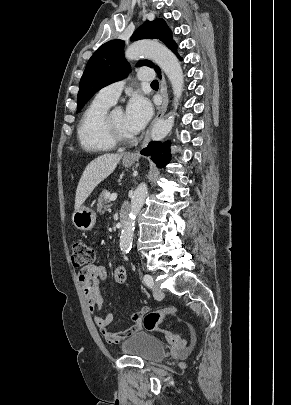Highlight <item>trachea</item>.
<instances>
[{
  "label": "trachea",
  "mask_w": 291,
  "mask_h": 405,
  "mask_svg": "<svg viewBox=\"0 0 291 405\" xmlns=\"http://www.w3.org/2000/svg\"><path fill=\"white\" fill-rule=\"evenodd\" d=\"M151 85H152V86H158V85H159V83H158V81H157V80H154V81H152V82H151Z\"/></svg>",
  "instance_id": "3493384b"
}]
</instances>
